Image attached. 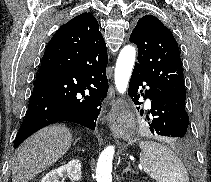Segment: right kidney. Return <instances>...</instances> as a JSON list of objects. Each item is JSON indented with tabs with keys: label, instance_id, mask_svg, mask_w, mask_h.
Instances as JSON below:
<instances>
[{
	"label": "right kidney",
	"instance_id": "1",
	"mask_svg": "<svg viewBox=\"0 0 211 182\" xmlns=\"http://www.w3.org/2000/svg\"><path fill=\"white\" fill-rule=\"evenodd\" d=\"M69 177L74 181H79L81 178V163L79 160H72L68 164L63 165L47 173L41 182H59L60 178Z\"/></svg>",
	"mask_w": 211,
	"mask_h": 182
}]
</instances>
